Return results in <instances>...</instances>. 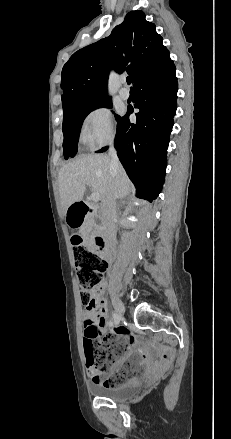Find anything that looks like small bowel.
I'll return each instance as SVG.
<instances>
[{
	"instance_id": "c3829d8e",
	"label": "small bowel",
	"mask_w": 231,
	"mask_h": 439,
	"mask_svg": "<svg viewBox=\"0 0 231 439\" xmlns=\"http://www.w3.org/2000/svg\"><path fill=\"white\" fill-rule=\"evenodd\" d=\"M94 306L86 307L83 313L84 319V344L94 345L99 342V327H105L107 325V313L105 310L104 301L100 298V289H96L93 293ZM118 333L127 342L128 351L127 354L109 371V373L115 372L120 367L124 366L128 369L131 356L137 355L140 359L146 363V370L148 374H154L163 363L165 359L161 358L159 362H155L151 355L144 349L139 348L138 341L134 335L127 329L118 328Z\"/></svg>"
}]
</instances>
